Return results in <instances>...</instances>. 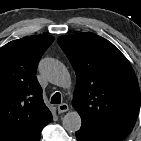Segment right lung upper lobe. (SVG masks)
Here are the masks:
<instances>
[{
	"label": "right lung upper lobe",
	"instance_id": "cb5924a9",
	"mask_svg": "<svg viewBox=\"0 0 141 141\" xmlns=\"http://www.w3.org/2000/svg\"><path fill=\"white\" fill-rule=\"evenodd\" d=\"M50 35L28 36L0 48V141H40L52 114L36 78Z\"/></svg>",
	"mask_w": 141,
	"mask_h": 141
}]
</instances>
